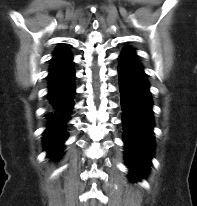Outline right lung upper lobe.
Returning a JSON list of instances; mask_svg holds the SVG:
<instances>
[{"mask_svg": "<svg viewBox=\"0 0 197 206\" xmlns=\"http://www.w3.org/2000/svg\"><path fill=\"white\" fill-rule=\"evenodd\" d=\"M67 44H60L53 53V58L51 59V64L49 68L48 79L55 76L57 73L61 72L72 60V55L67 50Z\"/></svg>", "mask_w": 197, "mask_h": 206, "instance_id": "right-lung-upper-lobe-1", "label": "right lung upper lobe"}]
</instances>
